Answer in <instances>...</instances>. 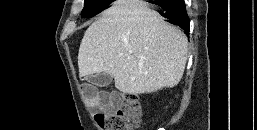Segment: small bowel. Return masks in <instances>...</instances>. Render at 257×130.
I'll use <instances>...</instances> for the list:
<instances>
[{
	"label": "small bowel",
	"instance_id": "c3829d8e",
	"mask_svg": "<svg viewBox=\"0 0 257 130\" xmlns=\"http://www.w3.org/2000/svg\"><path fill=\"white\" fill-rule=\"evenodd\" d=\"M85 103L93 110L106 112L119 106L121 97L116 93L102 92L96 88L93 97H85Z\"/></svg>",
	"mask_w": 257,
	"mask_h": 130
}]
</instances>
